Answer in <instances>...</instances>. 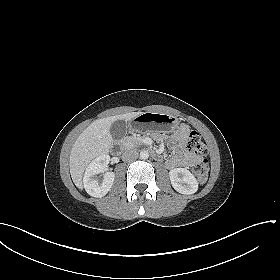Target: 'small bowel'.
I'll return each instance as SVG.
<instances>
[{
    "label": "small bowel",
    "instance_id": "obj_1",
    "mask_svg": "<svg viewBox=\"0 0 280 280\" xmlns=\"http://www.w3.org/2000/svg\"><path fill=\"white\" fill-rule=\"evenodd\" d=\"M189 131V126L182 124L171 136L170 143L173 147V154L166 160L168 168L190 167L202 159L200 155L186 149L185 142Z\"/></svg>",
    "mask_w": 280,
    "mask_h": 280
}]
</instances>
